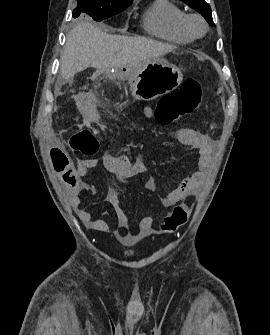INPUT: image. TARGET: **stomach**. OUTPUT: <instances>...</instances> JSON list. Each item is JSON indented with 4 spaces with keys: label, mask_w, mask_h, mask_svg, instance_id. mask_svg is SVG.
Masks as SVG:
<instances>
[{
    "label": "stomach",
    "mask_w": 270,
    "mask_h": 335,
    "mask_svg": "<svg viewBox=\"0 0 270 335\" xmlns=\"http://www.w3.org/2000/svg\"><path fill=\"white\" fill-rule=\"evenodd\" d=\"M119 76L130 82L134 100H155L176 90L183 80L179 68H172L164 60H151L147 66L119 68Z\"/></svg>",
    "instance_id": "obj_1"
}]
</instances>
